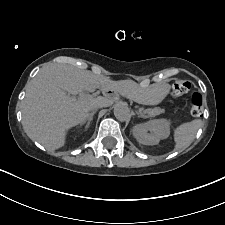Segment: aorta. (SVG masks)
<instances>
[{"mask_svg": "<svg viewBox=\"0 0 225 225\" xmlns=\"http://www.w3.org/2000/svg\"><path fill=\"white\" fill-rule=\"evenodd\" d=\"M114 115L118 121H128L131 117L130 109L125 103H117L114 106Z\"/></svg>", "mask_w": 225, "mask_h": 225, "instance_id": "aorta-1", "label": "aorta"}]
</instances>
